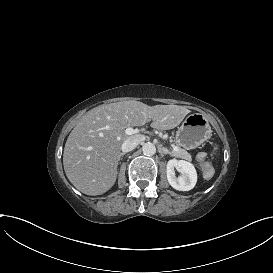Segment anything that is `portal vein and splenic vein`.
Masks as SVG:
<instances>
[{
	"label": "portal vein and splenic vein",
	"mask_w": 273,
	"mask_h": 273,
	"mask_svg": "<svg viewBox=\"0 0 273 273\" xmlns=\"http://www.w3.org/2000/svg\"><path fill=\"white\" fill-rule=\"evenodd\" d=\"M138 132H139L138 129H133V128H131V127H128V128H126V130H125V133H126L127 135H133V134H136V133H138ZM171 149L174 150L175 152H179V151H180V148L177 147V146H175V145H172V146H171Z\"/></svg>",
	"instance_id": "1"
}]
</instances>
